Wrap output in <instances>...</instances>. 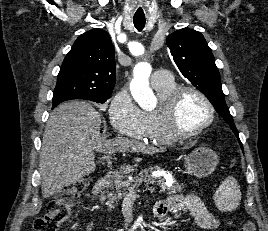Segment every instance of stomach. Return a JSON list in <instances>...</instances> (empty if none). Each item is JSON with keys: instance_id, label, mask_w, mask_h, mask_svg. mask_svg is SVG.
Listing matches in <instances>:
<instances>
[{"instance_id": "obj_1", "label": "stomach", "mask_w": 268, "mask_h": 231, "mask_svg": "<svg viewBox=\"0 0 268 231\" xmlns=\"http://www.w3.org/2000/svg\"><path fill=\"white\" fill-rule=\"evenodd\" d=\"M218 161V156L213 150L199 147L184 157L185 172L203 178L214 172Z\"/></svg>"}]
</instances>
